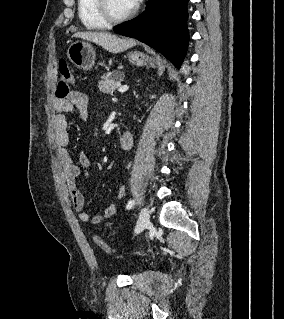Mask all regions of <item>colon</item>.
<instances>
[{"label": "colon", "instance_id": "obj_1", "mask_svg": "<svg viewBox=\"0 0 284 319\" xmlns=\"http://www.w3.org/2000/svg\"><path fill=\"white\" fill-rule=\"evenodd\" d=\"M73 82L74 76L68 63H66L65 61H61L58 67V84L56 90L57 97L61 99L66 98L71 92ZM93 241L98 247L106 252L115 251L99 236H94Z\"/></svg>", "mask_w": 284, "mask_h": 319}]
</instances>
